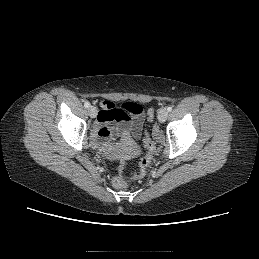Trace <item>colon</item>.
Returning a JSON list of instances; mask_svg holds the SVG:
<instances>
[{
  "mask_svg": "<svg viewBox=\"0 0 259 259\" xmlns=\"http://www.w3.org/2000/svg\"><path fill=\"white\" fill-rule=\"evenodd\" d=\"M126 107L132 112L138 111L137 106L130 104L129 102H127ZM154 117H155V110L149 109L147 111V121L148 122L153 121ZM143 142H144L145 152L140 159L139 172L135 175V177H141L144 175L156 148L154 141L149 137L147 132H145ZM124 170L125 168H124V165L122 164L119 167V175L114 179V185L117 188H125L128 184L127 177L125 176Z\"/></svg>",
  "mask_w": 259,
  "mask_h": 259,
  "instance_id": "colon-1",
  "label": "colon"
}]
</instances>
